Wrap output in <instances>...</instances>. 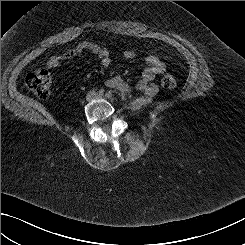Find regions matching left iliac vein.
I'll list each match as a JSON object with an SVG mask.
<instances>
[{
    "label": "left iliac vein",
    "instance_id": "1",
    "mask_svg": "<svg viewBox=\"0 0 245 245\" xmlns=\"http://www.w3.org/2000/svg\"><path fill=\"white\" fill-rule=\"evenodd\" d=\"M97 98H103V95H98Z\"/></svg>",
    "mask_w": 245,
    "mask_h": 245
}]
</instances>
